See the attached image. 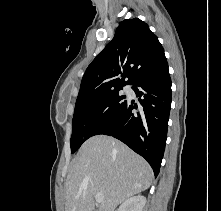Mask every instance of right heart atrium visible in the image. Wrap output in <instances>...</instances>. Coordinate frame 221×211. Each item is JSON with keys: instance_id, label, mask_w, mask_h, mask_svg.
I'll return each mask as SVG.
<instances>
[{"instance_id": "1", "label": "right heart atrium", "mask_w": 221, "mask_h": 211, "mask_svg": "<svg viewBox=\"0 0 221 211\" xmlns=\"http://www.w3.org/2000/svg\"><path fill=\"white\" fill-rule=\"evenodd\" d=\"M95 113L96 115H101L103 113L102 107H97Z\"/></svg>"}]
</instances>
